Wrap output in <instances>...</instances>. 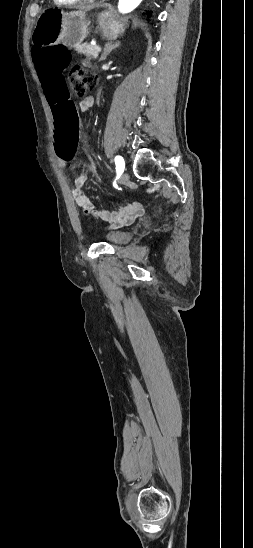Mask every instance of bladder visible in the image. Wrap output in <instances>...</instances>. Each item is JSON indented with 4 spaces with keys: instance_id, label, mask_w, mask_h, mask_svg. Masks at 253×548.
<instances>
[{
    "instance_id": "1",
    "label": "bladder",
    "mask_w": 253,
    "mask_h": 548,
    "mask_svg": "<svg viewBox=\"0 0 253 548\" xmlns=\"http://www.w3.org/2000/svg\"><path fill=\"white\" fill-rule=\"evenodd\" d=\"M133 237V232L128 230H119L109 233L105 240L114 245H122L129 242Z\"/></svg>"
}]
</instances>
